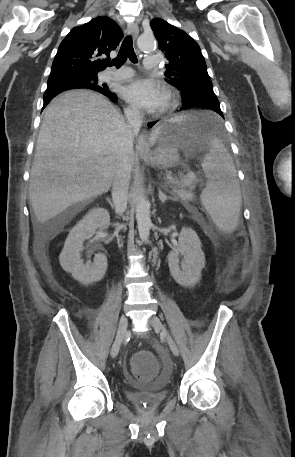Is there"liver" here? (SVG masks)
<instances>
[{
	"label": "liver",
	"instance_id": "obj_1",
	"mask_svg": "<svg viewBox=\"0 0 295 457\" xmlns=\"http://www.w3.org/2000/svg\"><path fill=\"white\" fill-rule=\"evenodd\" d=\"M137 133L98 93L72 90L55 98L44 115L29 182L37 220L47 222L74 204L106 193L121 162L131 174Z\"/></svg>",
	"mask_w": 295,
	"mask_h": 457
}]
</instances>
